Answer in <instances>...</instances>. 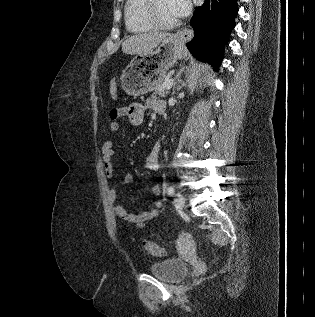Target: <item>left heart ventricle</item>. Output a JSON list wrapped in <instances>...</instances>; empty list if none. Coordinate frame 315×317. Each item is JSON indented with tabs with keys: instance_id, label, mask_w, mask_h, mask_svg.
<instances>
[{
	"instance_id": "b2bd125f",
	"label": "left heart ventricle",
	"mask_w": 315,
	"mask_h": 317,
	"mask_svg": "<svg viewBox=\"0 0 315 317\" xmlns=\"http://www.w3.org/2000/svg\"><path fill=\"white\" fill-rule=\"evenodd\" d=\"M156 15L163 23H170L178 19L171 7L170 0H157Z\"/></svg>"
}]
</instances>
